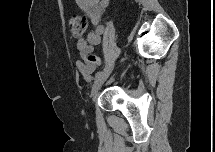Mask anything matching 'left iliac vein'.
<instances>
[{"mask_svg":"<svg viewBox=\"0 0 215 152\" xmlns=\"http://www.w3.org/2000/svg\"><path fill=\"white\" fill-rule=\"evenodd\" d=\"M114 67V63L109 64L102 72L101 75L95 80L92 91H91V99L95 100L97 97V92L99 88L103 85V83L106 81V79L111 74Z\"/></svg>","mask_w":215,"mask_h":152,"instance_id":"left-iliac-vein-1","label":"left iliac vein"}]
</instances>
